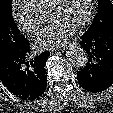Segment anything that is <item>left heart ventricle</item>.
Wrapping results in <instances>:
<instances>
[{
	"label": "left heart ventricle",
	"instance_id": "obj_1",
	"mask_svg": "<svg viewBox=\"0 0 113 113\" xmlns=\"http://www.w3.org/2000/svg\"><path fill=\"white\" fill-rule=\"evenodd\" d=\"M88 10V0H60L48 19L60 21L72 28L84 19Z\"/></svg>",
	"mask_w": 113,
	"mask_h": 113
}]
</instances>
